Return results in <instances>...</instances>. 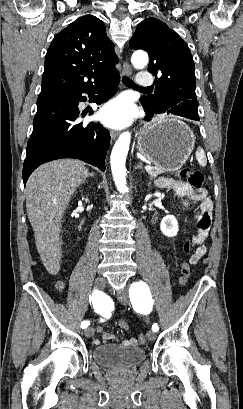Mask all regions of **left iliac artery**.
I'll use <instances>...</instances> for the list:
<instances>
[{"label": "left iliac artery", "mask_w": 243, "mask_h": 409, "mask_svg": "<svg viewBox=\"0 0 243 409\" xmlns=\"http://www.w3.org/2000/svg\"><path fill=\"white\" fill-rule=\"evenodd\" d=\"M148 292H149L148 286L142 281L133 283L131 285V288L129 290V295H130L131 302L133 306L135 307V309L137 307V302L143 301V299L149 302L150 300L152 301V299H149ZM152 330L154 332H157L159 330L158 325L154 324L152 326Z\"/></svg>", "instance_id": "44dca946"}]
</instances>
